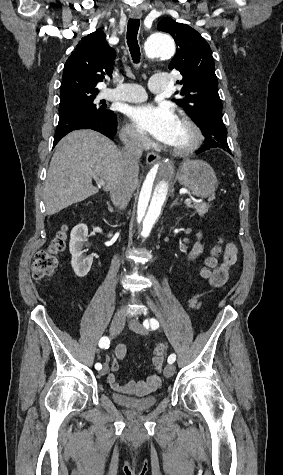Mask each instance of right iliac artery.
I'll return each instance as SVG.
<instances>
[{
  "label": "right iliac artery",
  "instance_id": "82829eb1",
  "mask_svg": "<svg viewBox=\"0 0 283 475\" xmlns=\"http://www.w3.org/2000/svg\"><path fill=\"white\" fill-rule=\"evenodd\" d=\"M110 344V340L108 337H102L99 341V347L100 348H105L108 349ZM102 368V365L100 363L95 364V369L100 370Z\"/></svg>",
  "mask_w": 283,
  "mask_h": 475
}]
</instances>
